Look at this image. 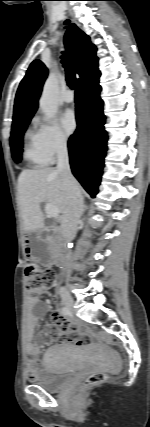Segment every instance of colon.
Returning <instances> with one entry per match:
<instances>
[{
  "label": "colon",
  "instance_id": "5ec220e1",
  "mask_svg": "<svg viewBox=\"0 0 150 427\" xmlns=\"http://www.w3.org/2000/svg\"><path fill=\"white\" fill-rule=\"evenodd\" d=\"M28 260L26 262V291L27 294L35 298L45 292H47L55 282V272L41 265L39 262L29 257L27 252ZM107 378L104 373H97L89 376L85 382L84 387H90L103 382Z\"/></svg>",
  "mask_w": 150,
  "mask_h": 427
}]
</instances>
